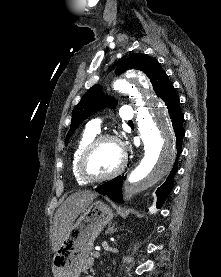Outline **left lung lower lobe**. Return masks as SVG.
Masks as SVG:
<instances>
[{
    "mask_svg": "<svg viewBox=\"0 0 221 277\" xmlns=\"http://www.w3.org/2000/svg\"><path fill=\"white\" fill-rule=\"evenodd\" d=\"M163 101L165 102L170 118L172 119V124L174 128V132L176 135V146H177V158L181 154V142L184 137V129L182 126V122L184 120V116L180 110V101L178 96L175 93L174 87L171 86L165 93L163 97ZM177 171V161L175 162L174 168L170 172L168 178L164 182L162 186L158 188L156 194L157 198V208H161L166 196L173 188L174 175ZM124 176H119L114 178L111 181H108L98 188L96 191L100 194L107 195L109 198L123 203L122 195H121V185L123 182Z\"/></svg>",
    "mask_w": 221,
    "mask_h": 277,
    "instance_id": "0a47b994",
    "label": "left lung lower lobe"
}]
</instances>
